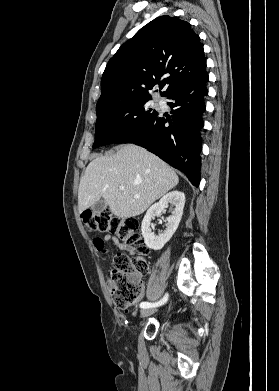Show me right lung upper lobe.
<instances>
[{"instance_id": "right-lung-upper-lobe-1", "label": "right lung upper lobe", "mask_w": 279, "mask_h": 391, "mask_svg": "<svg viewBox=\"0 0 279 391\" xmlns=\"http://www.w3.org/2000/svg\"><path fill=\"white\" fill-rule=\"evenodd\" d=\"M206 68L203 46L191 25L158 17L125 42L109 60L101 80L97 114L141 99L159 84L161 96L200 76Z\"/></svg>"}]
</instances>
